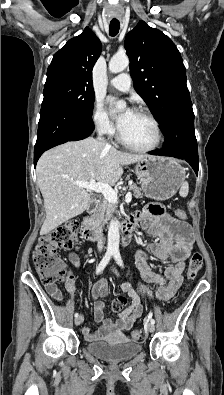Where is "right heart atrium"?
Returning <instances> with one entry per match:
<instances>
[{
  "label": "right heart atrium",
  "instance_id": "1",
  "mask_svg": "<svg viewBox=\"0 0 224 395\" xmlns=\"http://www.w3.org/2000/svg\"><path fill=\"white\" fill-rule=\"evenodd\" d=\"M92 123L102 135L111 136L115 132L114 125L100 101H96L93 106Z\"/></svg>",
  "mask_w": 224,
  "mask_h": 395
}]
</instances>
